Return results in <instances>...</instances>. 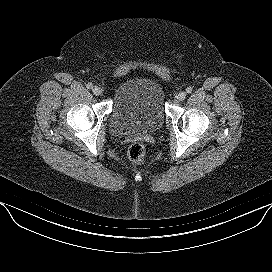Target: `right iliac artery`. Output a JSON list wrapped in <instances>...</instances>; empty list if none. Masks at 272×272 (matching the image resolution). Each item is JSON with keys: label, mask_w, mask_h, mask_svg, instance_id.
I'll use <instances>...</instances> for the list:
<instances>
[{"label": "right iliac artery", "mask_w": 272, "mask_h": 272, "mask_svg": "<svg viewBox=\"0 0 272 272\" xmlns=\"http://www.w3.org/2000/svg\"><path fill=\"white\" fill-rule=\"evenodd\" d=\"M86 87H87L88 89H92V88H93V84H92V83H88V84L86 85Z\"/></svg>", "instance_id": "right-iliac-artery-1"}]
</instances>
